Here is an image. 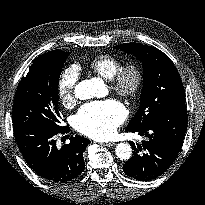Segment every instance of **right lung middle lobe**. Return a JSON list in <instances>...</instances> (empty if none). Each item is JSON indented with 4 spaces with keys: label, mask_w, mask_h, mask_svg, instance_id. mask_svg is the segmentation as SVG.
<instances>
[{
    "label": "right lung middle lobe",
    "mask_w": 205,
    "mask_h": 205,
    "mask_svg": "<svg viewBox=\"0 0 205 205\" xmlns=\"http://www.w3.org/2000/svg\"><path fill=\"white\" fill-rule=\"evenodd\" d=\"M70 53L33 61L21 78L13 105V125L40 124L61 128L58 110V83L61 68Z\"/></svg>",
    "instance_id": "right-lung-middle-lobe-1"
}]
</instances>
